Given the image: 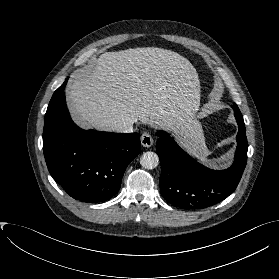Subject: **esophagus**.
Returning <instances> with one entry per match:
<instances>
[{
    "label": "esophagus",
    "mask_w": 279,
    "mask_h": 279,
    "mask_svg": "<svg viewBox=\"0 0 279 279\" xmlns=\"http://www.w3.org/2000/svg\"><path fill=\"white\" fill-rule=\"evenodd\" d=\"M141 145L143 147H151L153 145V138L148 132H144L141 135Z\"/></svg>",
    "instance_id": "esophagus-1"
}]
</instances>
